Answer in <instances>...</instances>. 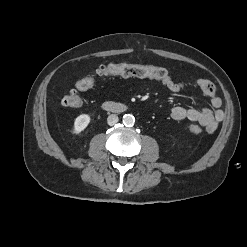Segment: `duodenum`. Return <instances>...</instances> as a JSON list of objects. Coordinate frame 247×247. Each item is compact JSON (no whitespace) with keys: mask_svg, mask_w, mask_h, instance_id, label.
Returning a JSON list of instances; mask_svg holds the SVG:
<instances>
[{"mask_svg":"<svg viewBox=\"0 0 247 247\" xmlns=\"http://www.w3.org/2000/svg\"><path fill=\"white\" fill-rule=\"evenodd\" d=\"M104 109L112 112H121L125 110V106L119 103L107 101L103 105Z\"/></svg>","mask_w":247,"mask_h":247,"instance_id":"1","label":"duodenum"}]
</instances>
